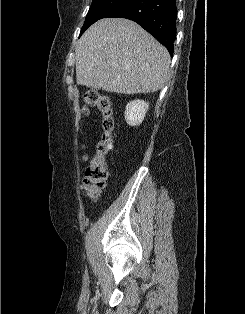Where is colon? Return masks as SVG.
Wrapping results in <instances>:
<instances>
[{"label": "colon", "mask_w": 245, "mask_h": 314, "mask_svg": "<svg viewBox=\"0 0 245 314\" xmlns=\"http://www.w3.org/2000/svg\"><path fill=\"white\" fill-rule=\"evenodd\" d=\"M83 111L88 113L89 108H96L101 114L102 132L96 143L95 155L87 160L82 190L89 199H96L100 191L106 185L107 159L111 154L113 146V132L115 120L113 116V105L108 95L101 94L96 90H88L84 94Z\"/></svg>", "instance_id": "obj_1"}]
</instances>
